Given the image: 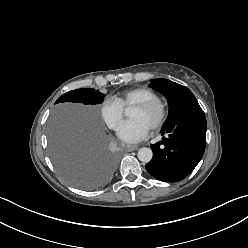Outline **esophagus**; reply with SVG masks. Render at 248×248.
Segmentation results:
<instances>
[{
    "label": "esophagus",
    "instance_id": "34e87169",
    "mask_svg": "<svg viewBox=\"0 0 248 248\" xmlns=\"http://www.w3.org/2000/svg\"><path fill=\"white\" fill-rule=\"evenodd\" d=\"M137 148H138V146H136V145H126L125 146V150L128 152L137 150Z\"/></svg>",
    "mask_w": 248,
    "mask_h": 248
}]
</instances>
